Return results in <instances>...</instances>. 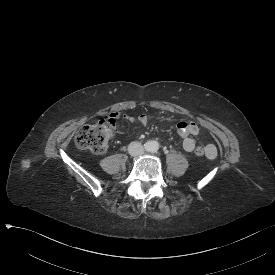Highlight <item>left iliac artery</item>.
I'll return each instance as SVG.
<instances>
[{
    "label": "left iliac artery",
    "mask_w": 275,
    "mask_h": 275,
    "mask_svg": "<svg viewBox=\"0 0 275 275\" xmlns=\"http://www.w3.org/2000/svg\"><path fill=\"white\" fill-rule=\"evenodd\" d=\"M152 151H153V152H156V151H157V148H156V147H154V148L152 149Z\"/></svg>",
    "instance_id": "left-iliac-artery-1"
}]
</instances>
